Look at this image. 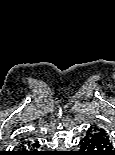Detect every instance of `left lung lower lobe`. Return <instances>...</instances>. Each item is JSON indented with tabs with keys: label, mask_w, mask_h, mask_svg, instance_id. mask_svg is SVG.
Segmentation results:
<instances>
[{
	"label": "left lung lower lobe",
	"mask_w": 115,
	"mask_h": 155,
	"mask_svg": "<svg viewBox=\"0 0 115 155\" xmlns=\"http://www.w3.org/2000/svg\"><path fill=\"white\" fill-rule=\"evenodd\" d=\"M79 155H115L112 137L103 127L88 128L80 141Z\"/></svg>",
	"instance_id": "obj_1"
}]
</instances>
